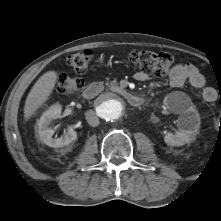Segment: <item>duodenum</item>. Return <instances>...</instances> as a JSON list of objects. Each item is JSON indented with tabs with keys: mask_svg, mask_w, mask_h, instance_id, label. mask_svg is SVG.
<instances>
[{
	"mask_svg": "<svg viewBox=\"0 0 221 221\" xmlns=\"http://www.w3.org/2000/svg\"><path fill=\"white\" fill-rule=\"evenodd\" d=\"M103 90V83L92 82L83 91V97L87 100L95 98ZM116 95L125 98L132 106L137 107L143 103V99L129 90L120 89L115 91Z\"/></svg>",
	"mask_w": 221,
	"mask_h": 221,
	"instance_id": "obj_1",
	"label": "duodenum"
}]
</instances>
